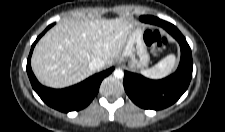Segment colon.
<instances>
[{
  "mask_svg": "<svg viewBox=\"0 0 225 132\" xmlns=\"http://www.w3.org/2000/svg\"><path fill=\"white\" fill-rule=\"evenodd\" d=\"M143 39L144 42L155 52L161 51L166 44V40L158 31L147 30L144 33Z\"/></svg>",
  "mask_w": 225,
  "mask_h": 132,
  "instance_id": "5ec220e1",
  "label": "colon"
}]
</instances>
